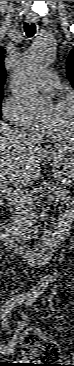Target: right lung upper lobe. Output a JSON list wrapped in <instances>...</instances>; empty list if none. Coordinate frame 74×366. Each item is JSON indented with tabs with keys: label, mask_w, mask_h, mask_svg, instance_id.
Here are the masks:
<instances>
[{
	"label": "right lung upper lobe",
	"mask_w": 74,
	"mask_h": 366,
	"mask_svg": "<svg viewBox=\"0 0 74 366\" xmlns=\"http://www.w3.org/2000/svg\"><path fill=\"white\" fill-rule=\"evenodd\" d=\"M6 51L0 47V92L2 91V87L5 83L6 72L4 68V56Z\"/></svg>",
	"instance_id": "1"
}]
</instances>
